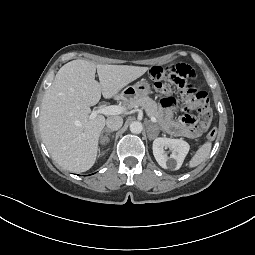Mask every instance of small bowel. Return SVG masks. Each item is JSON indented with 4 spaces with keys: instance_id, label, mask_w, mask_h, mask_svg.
<instances>
[{
    "instance_id": "c3829d8e",
    "label": "small bowel",
    "mask_w": 255,
    "mask_h": 255,
    "mask_svg": "<svg viewBox=\"0 0 255 255\" xmlns=\"http://www.w3.org/2000/svg\"><path fill=\"white\" fill-rule=\"evenodd\" d=\"M173 103L171 97L161 100L162 118L165 129L172 135L186 138H197L201 130L196 125V120L191 114H185L180 120L173 119Z\"/></svg>"
}]
</instances>
